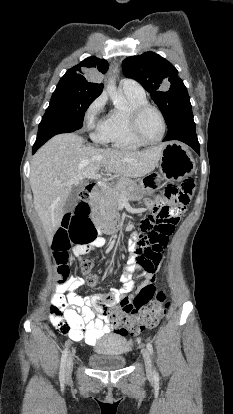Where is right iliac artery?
I'll return each mask as SVG.
<instances>
[{
    "mask_svg": "<svg viewBox=\"0 0 233 414\" xmlns=\"http://www.w3.org/2000/svg\"><path fill=\"white\" fill-rule=\"evenodd\" d=\"M67 355H68V348H65L64 351L62 352L60 372H59V379L61 382L65 381V365H66Z\"/></svg>",
    "mask_w": 233,
    "mask_h": 414,
    "instance_id": "right-iliac-artery-1",
    "label": "right iliac artery"
}]
</instances>
